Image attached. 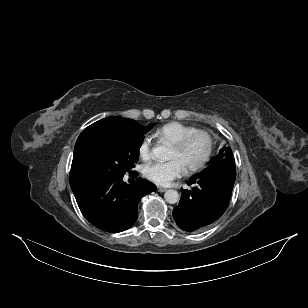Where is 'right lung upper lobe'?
<instances>
[{
  "label": "right lung upper lobe",
  "mask_w": 308,
  "mask_h": 308,
  "mask_svg": "<svg viewBox=\"0 0 308 308\" xmlns=\"http://www.w3.org/2000/svg\"><path fill=\"white\" fill-rule=\"evenodd\" d=\"M138 124L134 120L122 117H107L88 126L78 137L75 148L71 171L69 176L70 186L73 187L87 177L82 168V156L86 144L94 137L107 133L132 129Z\"/></svg>",
  "instance_id": "right-lung-upper-lobe-1"
}]
</instances>
